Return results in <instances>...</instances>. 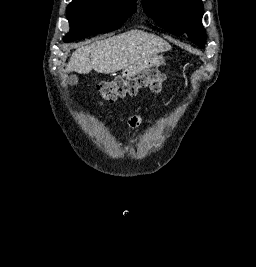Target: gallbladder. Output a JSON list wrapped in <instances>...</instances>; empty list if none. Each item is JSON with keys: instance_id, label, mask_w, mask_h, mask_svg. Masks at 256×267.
Instances as JSON below:
<instances>
[{"instance_id": "obj_1", "label": "gallbladder", "mask_w": 256, "mask_h": 267, "mask_svg": "<svg viewBox=\"0 0 256 267\" xmlns=\"http://www.w3.org/2000/svg\"><path fill=\"white\" fill-rule=\"evenodd\" d=\"M77 82H78L77 76H69V78L67 80V84H70V86H75V84H77Z\"/></svg>"}]
</instances>
